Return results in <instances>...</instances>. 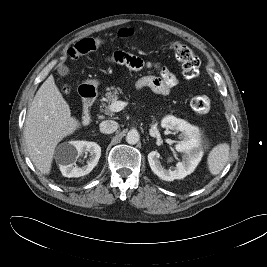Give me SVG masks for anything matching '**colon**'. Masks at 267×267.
I'll use <instances>...</instances> for the list:
<instances>
[{"label":"colon","mask_w":267,"mask_h":267,"mask_svg":"<svg viewBox=\"0 0 267 267\" xmlns=\"http://www.w3.org/2000/svg\"><path fill=\"white\" fill-rule=\"evenodd\" d=\"M133 31L131 29H122L119 32L120 37H130ZM104 44V40L99 38H84L77 42L68 50V55L75 59L84 54L93 52ZM171 48L176 59L181 64L182 73L185 79L192 80L198 76L200 61L194 52L186 45L173 42ZM65 93L69 92V88H64ZM191 108L197 114L203 115L210 110V100L205 95L194 96L190 101Z\"/></svg>","instance_id":"obj_1"}]
</instances>
